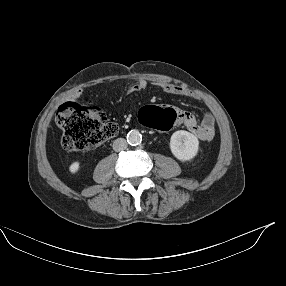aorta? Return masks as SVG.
<instances>
[{
    "instance_id": "obj_1",
    "label": "aorta",
    "mask_w": 286,
    "mask_h": 286,
    "mask_svg": "<svg viewBox=\"0 0 286 286\" xmlns=\"http://www.w3.org/2000/svg\"><path fill=\"white\" fill-rule=\"evenodd\" d=\"M142 141V135L138 130H131L127 134V142L132 145L136 146L139 145Z\"/></svg>"
}]
</instances>
